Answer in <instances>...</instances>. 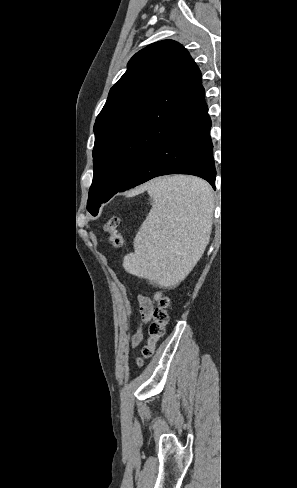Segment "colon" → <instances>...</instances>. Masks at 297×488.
I'll return each mask as SVG.
<instances>
[{
	"label": "colon",
	"mask_w": 297,
	"mask_h": 488,
	"mask_svg": "<svg viewBox=\"0 0 297 488\" xmlns=\"http://www.w3.org/2000/svg\"><path fill=\"white\" fill-rule=\"evenodd\" d=\"M118 226L119 218L116 216L108 218L104 225V230L108 235V243L115 249L119 248L123 243V239L118 232ZM171 304V299L168 297H164L159 301L158 307L153 314L154 321L150 325L149 340L142 349L141 357L137 359L139 365L153 355L157 342L164 336L165 328L169 322L168 310Z\"/></svg>",
	"instance_id": "colon-1"
}]
</instances>
